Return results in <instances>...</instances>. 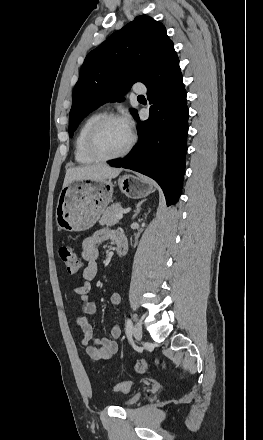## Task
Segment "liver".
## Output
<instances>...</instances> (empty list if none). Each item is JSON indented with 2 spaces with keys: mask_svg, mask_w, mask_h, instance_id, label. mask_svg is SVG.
<instances>
[{
  "mask_svg": "<svg viewBox=\"0 0 263 440\" xmlns=\"http://www.w3.org/2000/svg\"><path fill=\"white\" fill-rule=\"evenodd\" d=\"M121 168H113L106 164H94L69 168L66 170L63 187L75 180L105 181L116 178Z\"/></svg>",
  "mask_w": 263,
  "mask_h": 440,
  "instance_id": "6515ba94",
  "label": "liver"
}]
</instances>
